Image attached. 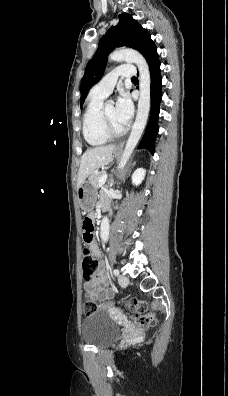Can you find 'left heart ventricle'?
<instances>
[{
	"label": "left heart ventricle",
	"mask_w": 228,
	"mask_h": 396,
	"mask_svg": "<svg viewBox=\"0 0 228 396\" xmlns=\"http://www.w3.org/2000/svg\"><path fill=\"white\" fill-rule=\"evenodd\" d=\"M105 112H106V116L108 118V121L110 123V125L115 129V130H120L122 129L124 126L121 125L116 117H115V106L113 104H109L105 106Z\"/></svg>",
	"instance_id": "b2bd125f"
}]
</instances>
